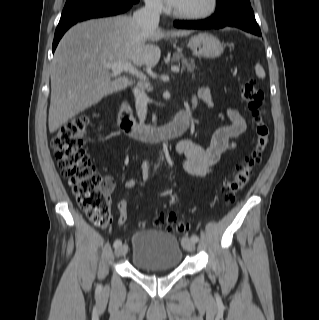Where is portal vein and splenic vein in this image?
<instances>
[{
    "instance_id": "18ae733b",
    "label": "portal vein and splenic vein",
    "mask_w": 319,
    "mask_h": 320,
    "mask_svg": "<svg viewBox=\"0 0 319 320\" xmlns=\"http://www.w3.org/2000/svg\"><path fill=\"white\" fill-rule=\"evenodd\" d=\"M105 66L112 70L114 76H117L122 72H128L133 75L139 76L141 79H144V80L146 79V76L143 74H140L138 70L135 67H133L129 62L106 63ZM171 70L173 72H179L180 68L177 66H172Z\"/></svg>"
}]
</instances>
